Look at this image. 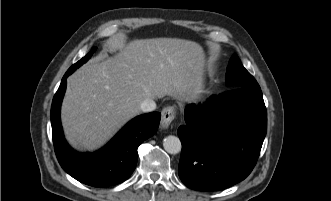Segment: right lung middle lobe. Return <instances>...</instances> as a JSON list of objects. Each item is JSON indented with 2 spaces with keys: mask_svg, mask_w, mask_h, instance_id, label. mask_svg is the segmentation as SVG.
Instances as JSON below:
<instances>
[{
  "mask_svg": "<svg viewBox=\"0 0 331 201\" xmlns=\"http://www.w3.org/2000/svg\"><path fill=\"white\" fill-rule=\"evenodd\" d=\"M95 52V49H92L85 57L79 60L77 63L72 65L67 72L73 73L78 67H80L83 63H85Z\"/></svg>",
  "mask_w": 331,
  "mask_h": 201,
  "instance_id": "1",
  "label": "right lung middle lobe"
}]
</instances>
